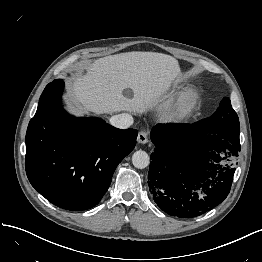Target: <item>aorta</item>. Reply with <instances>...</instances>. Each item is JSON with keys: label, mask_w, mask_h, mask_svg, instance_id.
I'll use <instances>...</instances> for the list:
<instances>
[{"label": "aorta", "mask_w": 262, "mask_h": 262, "mask_svg": "<svg viewBox=\"0 0 262 262\" xmlns=\"http://www.w3.org/2000/svg\"><path fill=\"white\" fill-rule=\"evenodd\" d=\"M149 162V155L143 150H138L132 155V163L134 167L138 169L146 168L149 165Z\"/></svg>", "instance_id": "1"}]
</instances>
